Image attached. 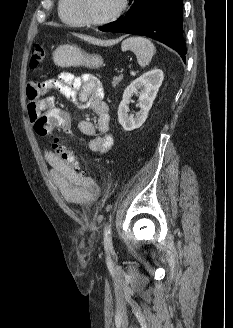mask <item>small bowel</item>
<instances>
[{
  "label": "small bowel",
  "mask_w": 233,
  "mask_h": 328,
  "mask_svg": "<svg viewBox=\"0 0 233 328\" xmlns=\"http://www.w3.org/2000/svg\"><path fill=\"white\" fill-rule=\"evenodd\" d=\"M52 89H57L78 107L88 108L97 115V127L88 120H82L78 124V129L83 135L90 137L91 151L98 155L110 151L114 145V133L110 126V111L104 102V89L101 82L90 74L75 77L70 73H60L54 79L29 83L28 114L32 121L42 115V112L55 109L53 98L42 96ZM44 156L51 166V179L66 200L86 203L98 196V186L91 177L75 171L51 150L46 149Z\"/></svg>",
  "instance_id": "c3829d8e"
}]
</instances>
